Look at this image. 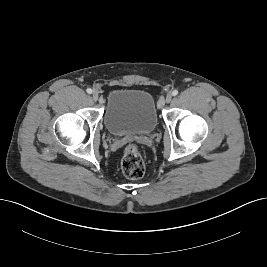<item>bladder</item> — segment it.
Instances as JSON below:
<instances>
[{"label": "bladder", "instance_id": "obj_1", "mask_svg": "<svg viewBox=\"0 0 267 267\" xmlns=\"http://www.w3.org/2000/svg\"><path fill=\"white\" fill-rule=\"evenodd\" d=\"M103 120L106 129L114 136L149 134L157 125L155 100L145 90H111Z\"/></svg>", "mask_w": 267, "mask_h": 267}]
</instances>
